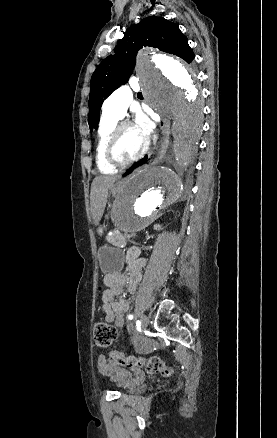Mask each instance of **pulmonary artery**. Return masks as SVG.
<instances>
[{
    "label": "pulmonary artery",
    "instance_id": "pulmonary-artery-1",
    "mask_svg": "<svg viewBox=\"0 0 277 438\" xmlns=\"http://www.w3.org/2000/svg\"><path fill=\"white\" fill-rule=\"evenodd\" d=\"M130 83L127 87H114V95H107L106 101L102 108V116L111 119L124 118L126 111L132 102L133 93L131 90H139L141 83L138 81L137 76H128Z\"/></svg>",
    "mask_w": 277,
    "mask_h": 438
}]
</instances>
